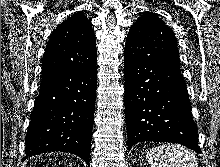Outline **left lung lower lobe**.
Instances as JSON below:
<instances>
[{"mask_svg":"<svg viewBox=\"0 0 220 167\" xmlns=\"http://www.w3.org/2000/svg\"><path fill=\"white\" fill-rule=\"evenodd\" d=\"M128 149L142 141L179 143L201 153L180 67L125 53Z\"/></svg>","mask_w":220,"mask_h":167,"instance_id":"1","label":"left lung lower lobe"}]
</instances>
